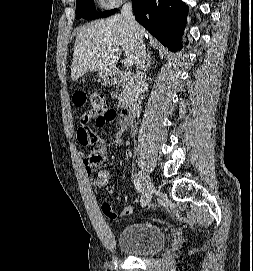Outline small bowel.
<instances>
[{"instance_id":"small-bowel-1","label":"small bowel","mask_w":253,"mask_h":271,"mask_svg":"<svg viewBox=\"0 0 253 271\" xmlns=\"http://www.w3.org/2000/svg\"><path fill=\"white\" fill-rule=\"evenodd\" d=\"M93 118L95 119L96 126L99 128H104L113 122L108 121L103 114L95 116L91 112L84 113L80 118V124L77 129V138L82 145L88 146L91 149V154L82 156V164L88 175L92 174L98 165L105 162L108 153L106 142L96 135L89 126V122ZM125 128L124 125L117 123V135L114 140L117 146H122L124 144L122 133L125 131ZM109 179V170L101 169L92 179V184L95 187L102 188L108 184ZM103 211L110 220H116L119 217L131 215L133 208L131 206H126L121 210H116L110 205L105 204L103 206Z\"/></svg>"}]
</instances>
